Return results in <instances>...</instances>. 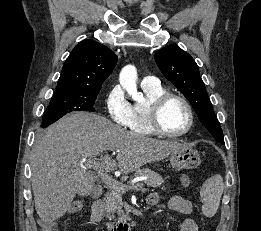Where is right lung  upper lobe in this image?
<instances>
[{
  "instance_id": "right-lung-upper-lobe-1",
  "label": "right lung upper lobe",
  "mask_w": 261,
  "mask_h": 231,
  "mask_svg": "<svg viewBox=\"0 0 261 231\" xmlns=\"http://www.w3.org/2000/svg\"><path fill=\"white\" fill-rule=\"evenodd\" d=\"M116 63L113 51L95 41L83 40L66 59L56 90H100Z\"/></svg>"
}]
</instances>
